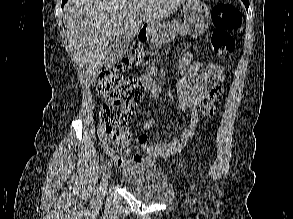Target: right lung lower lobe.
Listing matches in <instances>:
<instances>
[{"instance_id":"right-lung-lower-lobe-1","label":"right lung lower lobe","mask_w":293,"mask_h":219,"mask_svg":"<svg viewBox=\"0 0 293 219\" xmlns=\"http://www.w3.org/2000/svg\"><path fill=\"white\" fill-rule=\"evenodd\" d=\"M67 2V0H62V7L64 6V4Z\"/></svg>"}]
</instances>
